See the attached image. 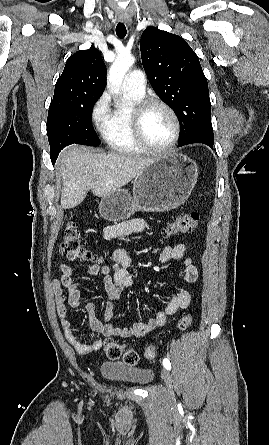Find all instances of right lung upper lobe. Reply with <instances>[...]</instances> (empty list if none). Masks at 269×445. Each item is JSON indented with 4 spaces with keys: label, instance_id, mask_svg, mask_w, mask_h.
Returning <instances> with one entry per match:
<instances>
[{
    "label": "right lung upper lobe",
    "instance_id": "obj_1",
    "mask_svg": "<svg viewBox=\"0 0 269 445\" xmlns=\"http://www.w3.org/2000/svg\"><path fill=\"white\" fill-rule=\"evenodd\" d=\"M106 66L95 48L70 56L58 78L53 100L100 97L105 90Z\"/></svg>",
    "mask_w": 269,
    "mask_h": 445
}]
</instances>
